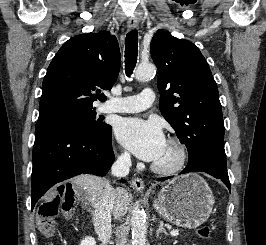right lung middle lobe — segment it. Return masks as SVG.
<instances>
[{
	"label": "right lung middle lobe",
	"instance_id": "dd1d6c3e",
	"mask_svg": "<svg viewBox=\"0 0 266 245\" xmlns=\"http://www.w3.org/2000/svg\"><path fill=\"white\" fill-rule=\"evenodd\" d=\"M95 109L71 111L56 118L38 121L35 128V135L47 131L58 125H69L81 129L91 135L102 136L106 134L111 126L96 121Z\"/></svg>",
	"mask_w": 266,
	"mask_h": 245
}]
</instances>
